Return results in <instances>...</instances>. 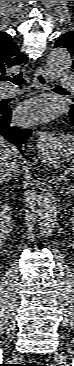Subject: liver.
<instances>
[{"label": "liver", "instance_id": "6515ba94", "mask_svg": "<svg viewBox=\"0 0 74 366\" xmlns=\"http://www.w3.org/2000/svg\"><path fill=\"white\" fill-rule=\"evenodd\" d=\"M20 156L19 151L13 145L8 143L3 137L0 138V182L17 175V159Z\"/></svg>", "mask_w": 74, "mask_h": 366}]
</instances>
